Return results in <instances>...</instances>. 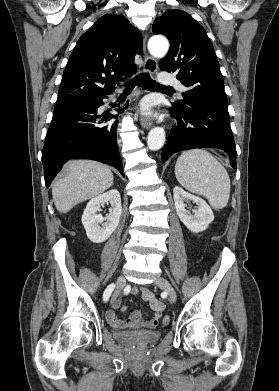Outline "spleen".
Returning a JSON list of instances; mask_svg holds the SVG:
<instances>
[{
    "instance_id": "spleen-1",
    "label": "spleen",
    "mask_w": 279,
    "mask_h": 391,
    "mask_svg": "<svg viewBox=\"0 0 279 391\" xmlns=\"http://www.w3.org/2000/svg\"><path fill=\"white\" fill-rule=\"evenodd\" d=\"M175 175L185 189L206 197L214 209L226 207L230 196V178L226 169L207 150L183 152L177 159Z\"/></svg>"
}]
</instances>
